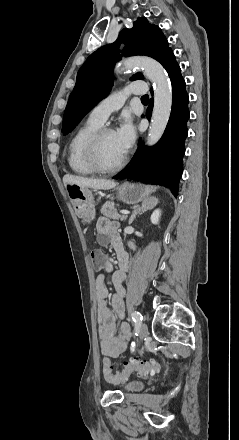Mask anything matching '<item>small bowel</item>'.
<instances>
[{
	"label": "small bowel",
	"mask_w": 239,
	"mask_h": 440,
	"mask_svg": "<svg viewBox=\"0 0 239 440\" xmlns=\"http://www.w3.org/2000/svg\"><path fill=\"white\" fill-rule=\"evenodd\" d=\"M97 241L101 245L111 244L118 256L119 270L112 272L109 259L105 268L112 272V283L115 293L111 296V308L107 304L108 288L104 274H99L95 280L97 298L98 333L102 353L108 357L116 358L128 346L131 337V328L128 323L121 322L119 329L116 320H123L125 316L124 284L127 280L128 256L117 231V225L110 219L101 217L97 221Z\"/></svg>",
	"instance_id": "obj_1"
}]
</instances>
